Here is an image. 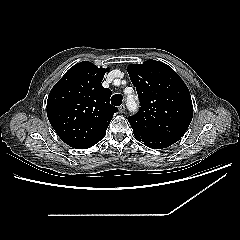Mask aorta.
I'll return each mask as SVG.
<instances>
[{"label": "aorta", "instance_id": "1", "mask_svg": "<svg viewBox=\"0 0 240 240\" xmlns=\"http://www.w3.org/2000/svg\"><path fill=\"white\" fill-rule=\"evenodd\" d=\"M127 103H128V106H129L131 109H135L136 103H135V101H134V99H133L132 97H129V98H128Z\"/></svg>", "mask_w": 240, "mask_h": 240}]
</instances>
